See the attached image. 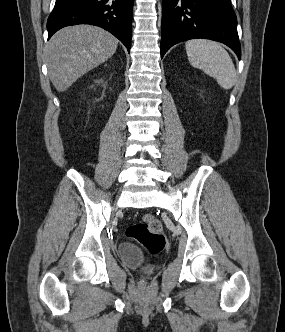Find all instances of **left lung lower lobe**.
<instances>
[{
    "instance_id": "1",
    "label": "left lung lower lobe",
    "mask_w": 285,
    "mask_h": 332,
    "mask_svg": "<svg viewBox=\"0 0 285 332\" xmlns=\"http://www.w3.org/2000/svg\"><path fill=\"white\" fill-rule=\"evenodd\" d=\"M194 38L224 43L241 58L230 0H162L161 58L173 45Z\"/></svg>"
}]
</instances>
